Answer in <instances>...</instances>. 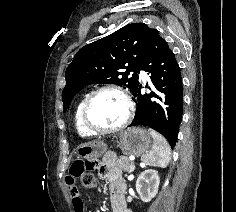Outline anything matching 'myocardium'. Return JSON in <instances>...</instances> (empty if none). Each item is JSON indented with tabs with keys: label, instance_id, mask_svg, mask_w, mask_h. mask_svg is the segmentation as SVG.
<instances>
[{
	"label": "myocardium",
	"instance_id": "1",
	"mask_svg": "<svg viewBox=\"0 0 236 212\" xmlns=\"http://www.w3.org/2000/svg\"><path fill=\"white\" fill-rule=\"evenodd\" d=\"M104 91H113V92L118 93L126 103L127 110H126L125 119L123 120V122L120 125H118L117 127H114V128H104L103 129V128L95 127L90 122V119H89V110H90V106H91L93 99L98 94H100L101 92H104ZM134 111H135V108H134V103L132 101V98L130 97V95L128 94V92L125 89H123L122 87L115 85V84H106V85L98 87L97 89L93 90L91 93H89L87 95V97L85 98V101L83 103V106H82L81 120H82L84 127L92 134L104 135V134L118 133V132L124 130L131 123L133 116H134Z\"/></svg>",
	"mask_w": 236,
	"mask_h": 212
}]
</instances>
